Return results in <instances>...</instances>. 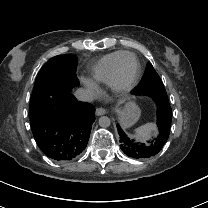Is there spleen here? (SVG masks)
<instances>
[{
	"label": "spleen",
	"mask_w": 208,
	"mask_h": 208,
	"mask_svg": "<svg viewBox=\"0 0 208 208\" xmlns=\"http://www.w3.org/2000/svg\"><path fill=\"white\" fill-rule=\"evenodd\" d=\"M152 130H153L152 124L144 125L137 130L136 135L139 137L146 136Z\"/></svg>",
	"instance_id": "1"
}]
</instances>
